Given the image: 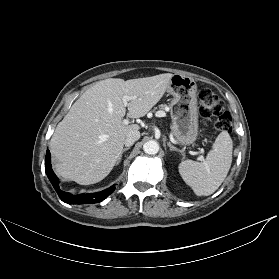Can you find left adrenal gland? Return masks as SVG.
<instances>
[{
  "label": "left adrenal gland",
  "mask_w": 279,
  "mask_h": 279,
  "mask_svg": "<svg viewBox=\"0 0 279 279\" xmlns=\"http://www.w3.org/2000/svg\"><path fill=\"white\" fill-rule=\"evenodd\" d=\"M167 145L170 148V151H176V152L182 153L181 150H179L176 147H174L170 142H168Z\"/></svg>",
  "instance_id": "1"
}]
</instances>
